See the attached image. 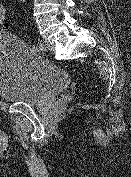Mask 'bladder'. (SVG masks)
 <instances>
[{"label": "bladder", "instance_id": "1", "mask_svg": "<svg viewBox=\"0 0 131 177\" xmlns=\"http://www.w3.org/2000/svg\"><path fill=\"white\" fill-rule=\"evenodd\" d=\"M70 84L60 67L37 56L19 39L0 35V98L46 106Z\"/></svg>", "mask_w": 131, "mask_h": 177}]
</instances>
